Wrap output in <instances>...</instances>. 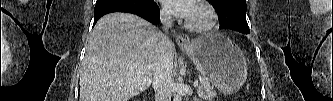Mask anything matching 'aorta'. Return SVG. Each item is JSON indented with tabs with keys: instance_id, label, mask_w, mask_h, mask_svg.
I'll use <instances>...</instances> for the list:
<instances>
[{
	"instance_id": "obj_1",
	"label": "aorta",
	"mask_w": 333,
	"mask_h": 101,
	"mask_svg": "<svg viewBox=\"0 0 333 101\" xmlns=\"http://www.w3.org/2000/svg\"><path fill=\"white\" fill-rule=\"evenodd\" d=\"M174 101H182L181 96L180 95H175Z\"/></svg>"
}]
</instances>
